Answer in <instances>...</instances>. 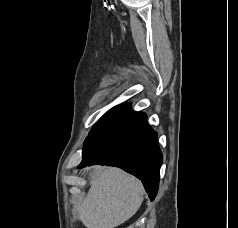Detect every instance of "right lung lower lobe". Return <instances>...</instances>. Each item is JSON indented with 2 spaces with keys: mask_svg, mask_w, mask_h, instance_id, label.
I'll list each match as a JSON object with an SVG mask.
<instances>
[{
  "mask_svg": "<svg viewBox=\"0 0 238 228\" xmlns=\"http://www.w3.org/2000/svg\"><path fill=\"white\" fill-rule=\"evenodd\" d=\"M141 112H129L111 122L82 151L78 168L93 164L117 166L139 178L153 200L159 186L162 153L157 133Z\"/></svg>",
  "mask_w": 238,
  "mask_h": 228,
  "instance_id": "right-lung-lower-lobe-1",
  "label": "right lung lower lobe"
}]
</instances>
